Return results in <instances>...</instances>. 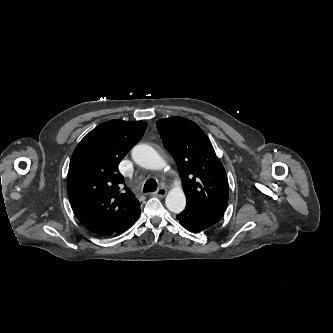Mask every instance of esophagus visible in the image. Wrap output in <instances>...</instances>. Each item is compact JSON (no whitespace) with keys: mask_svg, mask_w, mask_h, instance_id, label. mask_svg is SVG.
Returning <instances> with one entry per match:
<instances>
[{"mask_svg":"<svg viewBox=\"0 0 333 333\" xmlns=\"http://www.w3.org/2000/svg\"><path fill=\"white\" fill-rule=\"evenodd\" d=\"M167 194V190L165 188H160L156 192L153 193V195L158 196V197H165Z\"/></svg>","mask_w":333,"mask_h":333,"instance_id":"34e87169","label":"esophagus"}]
</instances>
